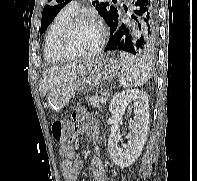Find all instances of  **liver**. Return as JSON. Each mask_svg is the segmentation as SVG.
<instances>
[{
	"label": "liver",
	"instance_id": "obj_1",
	"mask_svg": "<svg viewBox=\"0 0 197 181\" xmlns=\"http://www.w3.org/2000/svg\"><path fill=\"white\" fill-rule=\"evenodd\" d=\"M89 67V63L83 62L72 65L53 66L46 70L43 74V79L39 85L40 96L44 97L46 93L55 85L62 81L73 80L84 74Z\"/></svg>",
	"mask_w": 197,
	"mask_h": 181
}]
</instances>
